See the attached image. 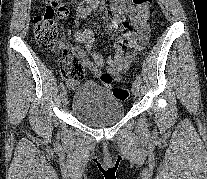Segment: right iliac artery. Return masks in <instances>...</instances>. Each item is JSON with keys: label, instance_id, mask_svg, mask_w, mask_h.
<instances>
[{"label": "right iliac artery", "instance_id": "obj_1", "mask_svg": "<svg viewBox=\"0 0 207 179\" xmlns=\"http://www.w3.org/2000/svg\"><path fill=\"white\" fill-rule=\"evenodd\" d=\"M91 10H92V7L91 6H86L84 9H83V11H82V18H86L89 14H90V12H91ZM60 89L61 90H64L65 89V85H64V83H61L60 84Z\"/></svg>", "mask_w": 207, "mask_h": 179}]
</instances>
